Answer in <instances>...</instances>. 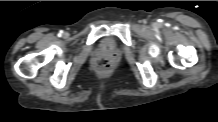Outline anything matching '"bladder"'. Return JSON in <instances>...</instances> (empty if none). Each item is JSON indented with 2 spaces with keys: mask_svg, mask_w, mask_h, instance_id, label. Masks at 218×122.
I'll return each instance as SVG.
<instances>
[{
  "mask_svg": "<svg viewBox=\"0 0 218 122\" xmlns=\"http://www.w3.org/2000/svg\"><path fill=\"white\" fill-rule=\"evenodd\" d=\"M104 43H105L106 46H108L110 44V41L106 40Z\"/></svg>",
  "mask_w": 218,
  "mask_h": 122,
  "instance_id": "bladder-1",
  "label": "bladder"
}]
</instances>
